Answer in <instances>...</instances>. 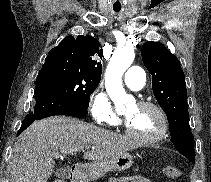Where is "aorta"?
<instances>
[{"mask_svg": "<svg viewBox=\"0 0 211 182\" xmlns=\"http://www.w3.org/2000/svg\"><path fill=\"white\" fill-rule=\"evenodd\" d=\"M133 49L124 48L115 51L105 72V87L110 99L116 108L123 106L127 101V94L122 85V76L134 60Z\"/></svg>", "mask_w": 211, "mask_h": 182, "instance_id": "obj_1", "label": "aorta"}]
</instances>
